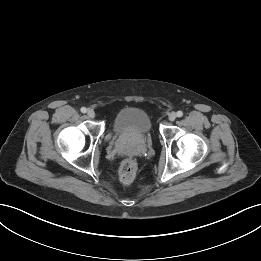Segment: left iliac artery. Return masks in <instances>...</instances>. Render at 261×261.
<instances>
[{
  "mask_svg": "<svg viewBox=\"0 0 261 261\" xmlns=\"http://www.w3.org/2000/svg\"><path fill=\"white\" fill-rule=\"evenodd\" d=\"M176 115H177V117H182L183 116V112L182 111H177Z\"/></svg>",
  "mask_w": 261,
  "mask_h": 261,
  "instance_id": "obj_1",
  "label": "left iliac artery"
}]
</instances>
